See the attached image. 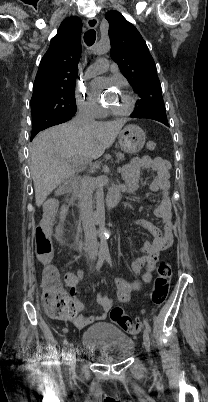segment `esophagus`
Listing matches in <instances>:
<instances>
[{"instance_id":"obj_1","label":"esophagus","mask_w":208,"mask_h":402,"mask_svg":"<svg viewBox=\"0 0 208 402\" xmlns=\"http://www.w3.org/2000/svg\"><path fill=\"white\" fill-rule=\"evenodd\" d=\"M86 25L90 29L96 28L98 25V19L96 17H90L87 19Z\"/></svg>"}]
</instances>
